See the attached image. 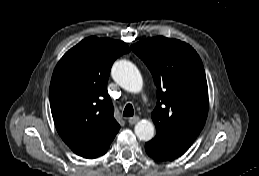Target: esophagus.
<instances>
[{
	"label": "esophagus",
	"mask_w": 259,
	"mask_h": 176,
	"mask_svg": "<svg viewBox=\"0 0 259 176\" xmlns=\"http://www.w3.org/2000/svg\"><path fill=\"white\" fill-rule=\"evenodd\" d=\"M138 121H139V117H138V116H134V117H131V118L128 119V123H129L130 125H134V124H136Z\"/></svg>",
	"instance_id": "34e87169"
}]
</instances>
